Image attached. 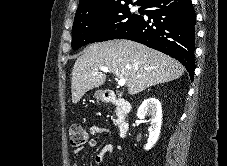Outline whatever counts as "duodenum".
Masks as SVG:
<instances>
[{"instance_id":"obj_1","label":"duodenum","mask_w":227,"mask_h":166,"mask_svg":"<svg viewBox=\"0 0 227 166\" xmlns=\"http://www.w3.org/2000/svg\"><path fill=\"white\" fill-rule=\"evenodd\" d=\"M104 101L115 105L118 109L119 132L121 137H125L130 129L128 115L132 110V104L123 98H117L111 90L104 91Z\"/></svg>"}]
</instances>
